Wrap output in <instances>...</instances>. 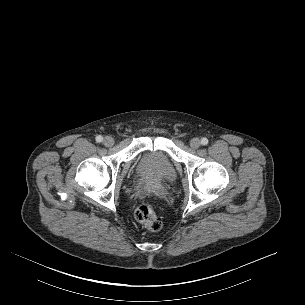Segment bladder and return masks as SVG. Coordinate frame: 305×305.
Instances as JSON below:
<instances>
[{"label":"bladder","instance_id":"obj_1","mask_svg":"<svg viewBox=\"0 0 305 305\" xmlns=\"http://www.w3.org/2000/svg\"><path fill=\"white\" fill-rule=\"evenodd\" d=\"M137 170L141 177L157 181H172L176 177V169L172 161L164 154L147 152L137 163Z\"/></svg>","mask_w":305,"mask_h":305}]
</instances>
